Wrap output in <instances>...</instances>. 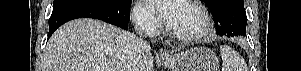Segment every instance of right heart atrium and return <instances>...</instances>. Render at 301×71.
<instances>
[{
  "mask_svg": "<svg viewBox=\"0 0 301 71\" xmlns=\"http://www.w3.org/2000/svg\"><path fill=\"white\" fill-rule=\"evenodd\" d=\"M133 20L137 28L148 35H154L160 29V21L157 16L142 3H138L134 7Z\"/></svg>",
  "mask_w": 301,
  "mask_h": 71,
  "instance_id": "1",
  "label": "right heart atrium"
}]
</instances>
